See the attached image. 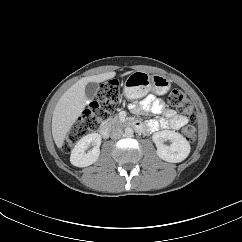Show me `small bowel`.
I'll return each instance as SVG.
<instances>
[{
    "mask_svg": "<svg viewBox=\"0 0 242 242\" xmlns=\"http://www.w3.org/2000/svg\"><path fill=\"white\" fill-rule=\"evenodd\" d=\"M131 109L135 112H151L164 115V118L151 120L147 123L135 122L136 128L140 131L178 130L187 122V117L165 107L164 103L153 95L146 96L139 105H132Z\"/></svg>",
    "mask_w": 242,
    "mask_h": 242,
    "instance_id": "small-bowel-1",
    "label": "small bowel"
}]
</instances>
